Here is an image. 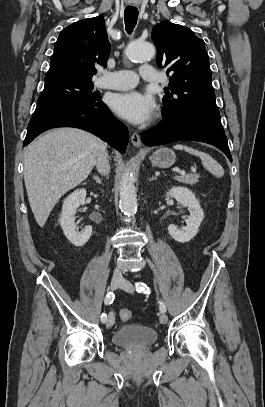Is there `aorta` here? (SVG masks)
I'll list each match as a JSON object with an SVG mask.
<instances>
[{"label": "aorta", "mask_w": 265, "mask_h": 407, "mask_svg": "<svg viewBox=\"0 0 265 407\" xmlns=\"http://www.w3.org/2000/svg\"><path fill=\"white\" fill-rule=\"evenodd\" d=\"M127 57L132 61H149L155 55V48L146 42H131L126 49ZM120 208L123 212L133 214L137 210L136 189L130 172H125L120 182Z\"/></svg>", "instance_id": "obj_1"}]
</instances>
